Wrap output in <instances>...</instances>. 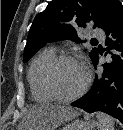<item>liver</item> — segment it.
Returning <instances> with one entry per match:
<instances>
[{"label":"liver","mask_w":123,"mask_h":130,"mask_svg":"<svg viewBox=\"0 0 123 130\" xmlns=\"http://www.w3.org/2000/svg\"><path fill=\"white\" fill-rule=\"evenodd\" d=\"M78 115L79 113L69 106L35 105L28 110L20 128L23 130H54L63 122L72 120Z\"/></svg>","instance_id":"6515ba94"}]
</instances>
